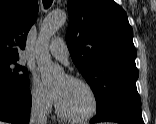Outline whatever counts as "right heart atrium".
I'll use <instances>...</instances> for the list:
<instances>
[{
  "mask_svg": "<svg viewBox=\"0 0 156 124\" xmlns=\"http://www.w3.org/2000/svg\"><path fill=\"white\" fill-rule=\"evenodd\" d=\"M29 95L31 104L36 110L46 114L51 112L54 105L53 94L35 75L30 79Z\"/></svg>",
  "mask_w": 156,
  "mask_h": 124,
  "instance_id": "1",
  "label": "right heart atrium"
}]
</instances>
